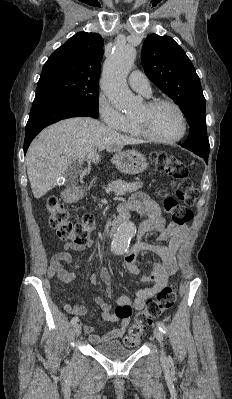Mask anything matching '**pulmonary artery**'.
I'll list each match as a JSON object with an SVG mask.
<instances>
[{
	"label": "pulmonary artery",
	"instance_id": "obj_1",
	"mask_svg": "<svg viewBox=\"0 0 232 399\" xmlns=\"http://www.w3.org/2000/svg\"><path fill=\"white\" fill-rule=\"evenodd\" d=\"M130 84L136 89V96H151L150 84L146 81V73L139 69L131 70Z\"/></svg>",
	"mask_w": 232,
	"mask_h": 399
}]
</instances>
